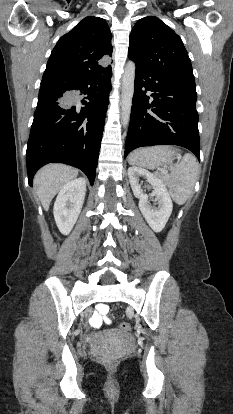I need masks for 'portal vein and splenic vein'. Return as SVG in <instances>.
I'll return each mask as SVG.
<instances>
[{"label": "portal vein and splenic vein", "instance_id": "portal-vein-and-splenic-vein-1", "mask_svg": "<svg viewBox=\"0 0 233 414\" xmlns=\"http://www.w3.org/2000/svg\"><path fill=\"white\" fill-rule=\"evenodd\" d=\"M162 172L166 173L167 171L165 169H161Z\"/></svg>", "mask_w": 233, "mask_h": 414}]
</instances>
